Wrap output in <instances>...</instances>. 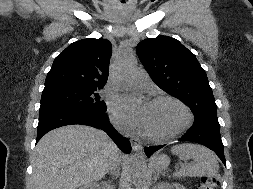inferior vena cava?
Here are the masks:
<instances>
[{
	"label": "inferior vena cava",
	"instance_id": "1",
	"mask_svg": "<svg viewBox=\"0 0 253 189\" xmlns=\"http://www.w3.org/2000/svg\"><path fill=\"white\" fill-rule=\"evenodd\" d=\"M113 154H114L115 160H114V165L111 167V174L118 175L120 167L126 163V158H125L126 153L122 149H115Z\"/></svg>",
	"mask_w": 253,
	"mask_h": 189
}]
</instances>
